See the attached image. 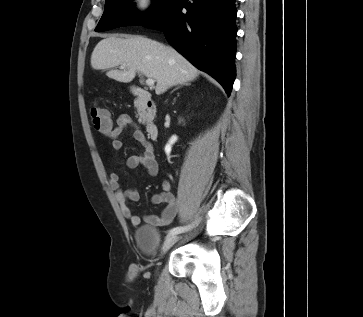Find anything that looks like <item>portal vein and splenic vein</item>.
I'll return each mask as SVG.
<instances>
[{"label":"portal vein and splenic vein","mask_w":363,"mask_h":317,"mask_svg":"<svg viewBox=\"0 0 363 317\" xmlns=\"http://www.w3.org/2000/svg\"><path fill=\"white\" fill-rule=\"evenodd\" d=\"M121 67H122V68H125V65H122ZM145 82H146V84H147L148 86H150V87H153V86H154V84H155V80H154V79H152V78H148Z\"/></svg>","instance_id":"portal-vein-and-splenic-vein-1"}]
</instances>
